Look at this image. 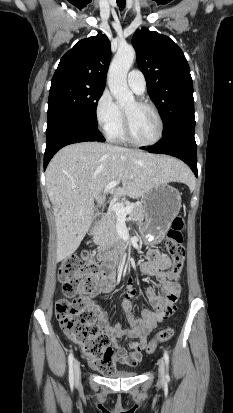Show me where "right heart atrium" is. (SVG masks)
<instances>
[{
	"instance_id": "1",
	"label": "right heart atrium",
	"mask_w": 233,
	"mask_h": 413,
	"mask_svg": "<svg viewBox=\"0 0 233 413\" xmlns=\"http://www.w3.org/2000/svg\"><path fill=\"white\" fill-rule=\"evenodd\" d=\"M94 115L99 129L109 138L122 122V112L111 93L104 90L95 102Z\"/></svg>"
}]
</instances>
